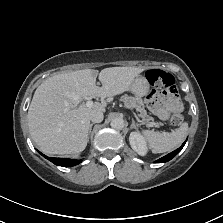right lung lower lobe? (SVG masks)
Here are the masks:
<instances>
[{"instance_id": "1", "label": "right lung lower lobe", "mask_w": 223, "mask_h": 223, "mask_svg": "<svg viewBox=\"0 0 223 223\" xmlns=\"http://www.w3.org/2000/svg\"><path fill=\"white\" fill-rule=\"evenodd\" d=\"M39 152V151H38ZM42 156H44L46 159L50 160L52 163L58 166H63V167H72L77 164H79L81 161L79 160H72V159H67V158H52V157H47L41 152H39Z\"/></svg>"}]
</instances>
